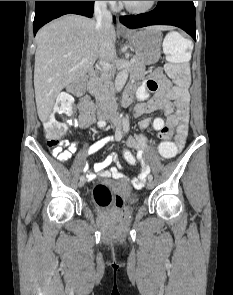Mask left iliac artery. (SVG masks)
<instances>
[{
	"instance_id": "1",
	"label": "left iliac artery",
	"mask_w": 233,
	"mask_h": 295,
	"mask_svg": "<svg viewBox=\"0 0 233 295\" xmlns=\"http://www.w3.org/2000/svg\"><path fill=\"white\" fill-rule=\"evenodd\" d=\"M129 128H130V126H129V121H128L127 118L124 117V118H123V130H124V132H125V133H128ZM152 179H153V176L150 174V175L148 176V180H151V181H152Z\"/></svg>"
}]
</instances>
